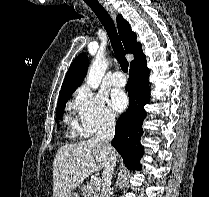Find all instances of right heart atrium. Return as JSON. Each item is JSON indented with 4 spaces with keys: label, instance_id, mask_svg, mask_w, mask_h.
<instances>
[{
    "label": "right heart atrium",
    "instance_id": "d8ad5b80",
    "mask_svg": "<svg viewBox=\"0 0 209 197\" xmlns=\"http://www.w3.org/2000/svg\"><path fill=\"white\" fill-rule=\"evenodd\" d=\"M79 119V133L90 137L115 124L116 116L107 105L106 98L87 87L80 88L71 103Z\"/></svg>",
    "mask_w": 209,
    "mask_h": 197
}]
</instances>
